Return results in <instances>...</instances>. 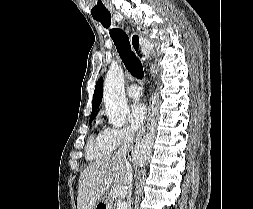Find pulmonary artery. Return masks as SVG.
<instances>
[{
	"instance_id": "1",
	"label": "pulmonary artery",
	"mask_w": 253,
	"mask_h": 209,
	"mask_svg": "<svg viewBox=\"0 0 253 209\" xmlns=\"http://www.w3.org/2000/svg\"><path fill=\"white\" fill-rule=\"evenodd\" d=\"M127 94L129 97L137 99L141 96L142 91L137 84H132L127 88Z\"/></svg>"
}]
</instances>
